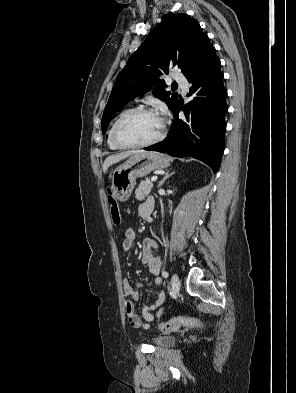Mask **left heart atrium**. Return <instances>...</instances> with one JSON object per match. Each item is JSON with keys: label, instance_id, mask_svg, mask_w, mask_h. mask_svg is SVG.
Here are the masks:
<instances>
[{"label": "left heart atrium", "instance_id": "left-heart-atrium-1", "mask_svg": "<svg viewBox=\"0 0 296 393\" xmlns=\"http://www.w3.org/2000/svg\"><path fill=\"white\" fill-rule=\"evenodd\" d=\"M165 113V110L164 109H162V111H161V114L159 115L160 117H161V119H162V121H163V118H162V116H163V114Z\"/></svg>", "mask_w": 296, "mask_h": 393}]
</instances>
